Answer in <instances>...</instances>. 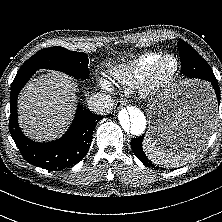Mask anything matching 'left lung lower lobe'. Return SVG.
<instances>
[{
	"label": "left lung lower lobe",
	"mask_w": 222,
	"mask_h": 222,
	"mask_svg": "<svg viewBox=\"0 0 222 222\" xmlns=\"http://www.w3.org/2000/svg\"><path fill=\"white\" fill-rule=\"evenodd\" d=\"M181 60V72L187 76L192 78H198L211 83L212 87L214 88L216 97L218 102H220V89L218 85V81L214 76L212 71L207 70L200 62L193 58L192 56H180ZM144 139V135L134 138L131 140V148L138 159L146 166H154L144 154L142 149V142ZM182 144L187 145L192 142L191 136L188 134L184 136ZM182 150V149H181ZM185 151V150H184Z\"/></svg>",
	"instance_id": "obj_1"
}]
</instances>
